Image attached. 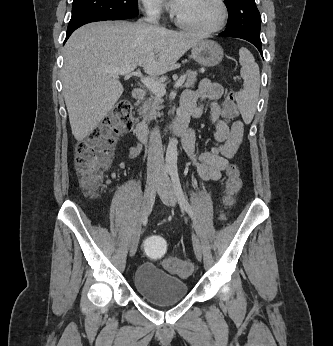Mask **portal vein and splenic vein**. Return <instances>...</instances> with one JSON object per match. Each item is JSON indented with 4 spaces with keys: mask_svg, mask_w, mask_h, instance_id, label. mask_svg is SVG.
I'll return each mask as SVG.
<instances>
[{
    "mask_svg": "<svg viewBox=\"0 0 333 346\" xmlns=\"http://www.w3.org/2000/svg\"><path fill=\"white\" fill-rule=\"evenodd\" d=\"M137 67L136 64L133 65H127L124 67H116V68H105L104 71L112 76H131V75H137L134 70ZM185 81V76H181L176 82L174 87L178 88L180 87ZM141 82L150 90L152 91L156 96L161 97L166 94L165 86L155 81L152 78L149 77H142Z\"/></svg>",
    "mask_w": 333,
    "mask_h": 346,
    "instance_id": "portal-vein-and-splenic-vein-1",
    "label": "portal vein and splenic vein"
}]
</instances>
